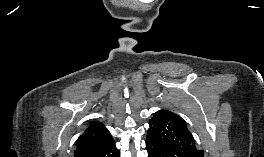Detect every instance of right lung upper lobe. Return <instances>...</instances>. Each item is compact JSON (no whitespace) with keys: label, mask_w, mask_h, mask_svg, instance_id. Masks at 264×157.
Listing matches in <instances>:
<instances>
[{"label":"right lung upper lobe","mask_w":264,"mask_h":157,"mask_svg":"<svg viewBox=\"0 0 264 157\" xmlns=\"http://www.w3.org/2000/svg\"><path fill=\"white\" fill-rule=\"evenodd\" d=\"M111 134L108 129L99 121L91 122L89 127L77 140V148L74 151L75 157L84 151L95 148L109 140Z\"/></svg>","instance_id":"right-lung-upper-lobe-1"}]
</instances>
